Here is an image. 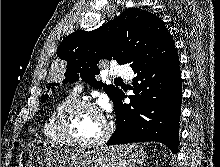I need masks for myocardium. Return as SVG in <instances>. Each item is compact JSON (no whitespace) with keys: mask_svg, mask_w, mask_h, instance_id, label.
I'll list each match as a JSON object with an SVG mask.
<instances>
[{"mask_svg":"<svg viewBox=\"0 0 220 167\" xmlns=\"http://www.w3.org/2000/svg\"><path fill=\"white\" fill-rule=\"evenodd\" d=\"M80 108H88L96 113L100 114L104 121V129L101 135L90 141H83L74 138L68 131V123L72 114ZM56 130L60 138L64 141L65 144L81 147V148H92L97 147L105 142L111 136L112 133V124L109 118L103 113V111L93 102L85 99H74L65 105L62 110L59 112L56 120Z\"/></svg>","mask_w":220,"mask_h":167,"instance_id":"1","label":"myocardium"}]
</instances>
